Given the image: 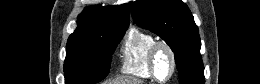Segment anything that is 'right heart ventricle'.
<instances>
[{"label": "right heart ventricle", "mask_w": 260, "mask_h": 84, "mask_svg": "<svg viewBox=\"0 0 260 84\" xmlns=\"http://www.w3.org/2000/svg\"><path fill=\"white\" fill-rule=\"evenodd\" d=\"M156 38L149 32L133 27L122 48L121 71L142 79H153L149 71V53Z\"/></svg>", "instance_id": "1"}]
</instances>
